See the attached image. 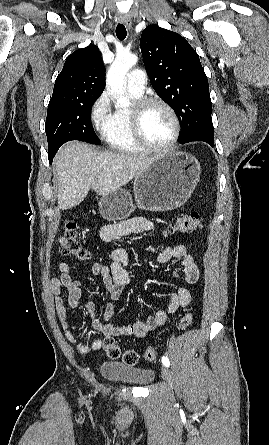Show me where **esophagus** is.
<instances>
[{"label": "esophagus", "instance_id": "esophagus-1", "mask_svg": "<svg viewBox=\"0 0 269 445\" xmlns=\"http://www.w3.org/2000/svg\"><path fill=\"white\" fill-rule=\"evenodd\" d=\"M119 22L124 24L128 29H131L132 27L131 19L125 15L119 17Z\"/></svg>", "mask_w": 269, "mask_h": 445}]
</instances>
